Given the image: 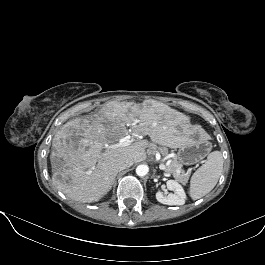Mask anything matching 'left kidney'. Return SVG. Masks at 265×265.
<instances>
[{
	"label": "left kidney",
	"mask_w": 265,
	"mask_h": 265,
	"mask_svg": "<svg viewBox=\"0 0 265 265\" xmlns=\"http://www.w3.org/2000/svg\"><path fill=\"white\" fill-rule=\"evenodd\" d=\"M167 188L174 193L163 195L162 192L156 193V199L158 202L166 205H183L186 200V193L183 187L175 180L167 181Z\"/></svg>",
	"instance_id": "5707ae66"
}]
</instances>
